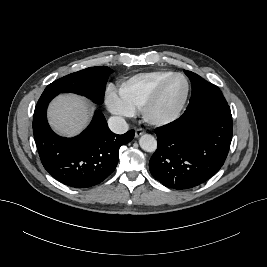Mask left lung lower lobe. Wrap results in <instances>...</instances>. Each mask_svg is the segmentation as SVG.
Masks as SVG:
<instances>
[{
	"instance_id": "1",
	"label": "left lung lower lobe",
	"mask_w": 267,
	"mask_h": 267,
	"mask_svg": "<svg viewBox=\"0 0 267 267\" xmlns=\"http://www.w3.org/2000/svg\"><path fill=\"white\" fill-rule=\"evenodd\" d=\"M214 101L210 93L191 97L180 118L155 129L157 150L149 169L164 186L193 188L224 164L232 140V115L227 102Z\"/></svg>"
}]
</instances>
